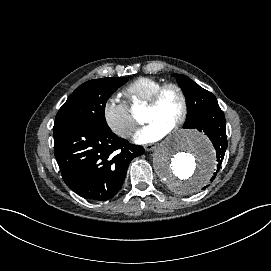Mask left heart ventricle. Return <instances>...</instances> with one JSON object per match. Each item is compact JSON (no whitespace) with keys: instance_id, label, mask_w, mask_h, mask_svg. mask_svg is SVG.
Returning <instances> with one entry per match:
<instances>
[{"instance_id":"left-heart-ventricle-1","label":"left heart ventricle","mask_w":271,"mask_h":271,"mask_svg":"<svg viewBox=\"0 0 271 271\" xmlns=\"http://www.w3.org/2000/svg\"><path fill=\"white\" fill-rule=\"evenodd\" d=\"M182 111L183 100L179 91L170 88L164 93L159 108L146 107L145 122H156L171 129L174 122L180 117Z\"/></svg>"}]
</instances>
